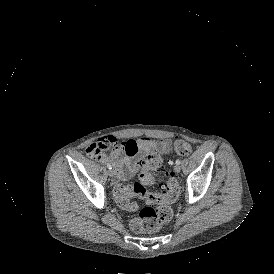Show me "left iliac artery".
Here are the masks:
<instances>
[{"label": "left iliac artery", "instance_id": "44dca946", "mask_svg": "<svg viewBox=\"0 0 274 274\" xmlns=\"http://www.w3.org/2000/svg\"><path fill=\"white\" fill-rule=\"evenodd\" d=\"M180 163H181V160H180V159H177V160H176V164L179 165Z\"/></svg>", "mask_w": 274, "mask_h": 274}]
</instances>
